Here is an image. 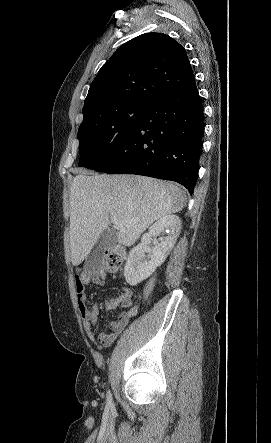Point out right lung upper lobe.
Instances as JSON below:
<instances>
[{
    "instance_id": "cb5924a9",
    "label": "right lung upper lobe",
    "mask_w": 271,
    "mask_h": 443,
    "mask_svg": "<svg viewBox=\"0 0 271 443\" xmlns=\"http://www.w3.org/2000/svg\"><path fill=\"white\" fill-rule=\"evenodd\" d=\"M195 82L182 45L162 33L140 35L119 47L90 85L83 121L103 106L152 102Z\"/></svg>"
}]
</instances>
